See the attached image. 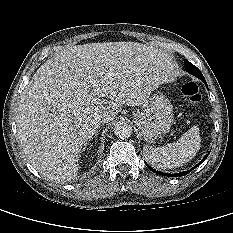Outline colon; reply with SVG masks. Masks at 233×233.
Wrapping results in <instances>:
<instances>
[{
	"label": "colon",
	"mask_w": 233,
	"mask_h": 233,
	"mask_svg": "<svg viewBox=\"0 0 233 233\" xmlns=\"http://www.w3.org/2000/svg\"><path fill=\"white\" fill-rule=\"evenodd\" d=\"M181 91L191 104L198 106L201 103L202 97L195 83L193 82L183 83Z\"/></svg>",
	"instance_id": "1"
}]
</instances>
